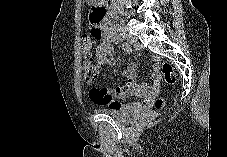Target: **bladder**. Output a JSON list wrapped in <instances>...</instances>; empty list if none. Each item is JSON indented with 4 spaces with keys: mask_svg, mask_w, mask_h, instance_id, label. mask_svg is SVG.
Returning a JSON list of instances; mask_svg holds the SVG:
<instances>
[{
    "mask_svg": "<svg viewBox=\"0 0 227 157\" xmlns=\"http://www.w3.org/2000/svg\"><path fill=\"white\" fill-rule=\"evenodd\" d=\"M99 112L106 114L119 121H129L136 118L139 112L136 110H125V109H113V108H102Z\"/></svg>",
    "mask_w": 227,
    "mask_h": 157,
    "instance_id": "bladder-1",
    "label": "bladder"
}]
</instances>
